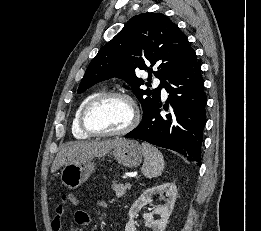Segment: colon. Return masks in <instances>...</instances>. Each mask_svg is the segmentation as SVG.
<instances>
[{
	"instance_id": "obj_1",
	"label": "colon",
	"mask_w": 261,
	"mask_h": 231,
	"mask_svg": "<svg viewBox=\"0 0 261 231\" xmlns=\"http://www.w3.org/2000/svg\"><path fill=\"white\" fill-rule=\"evenodd\" d=\"M70 201V195L69 194H65L63 196V203L61 205L62 209L65 210L66 209V204Z\"/></svg>"
}]
</instances>
